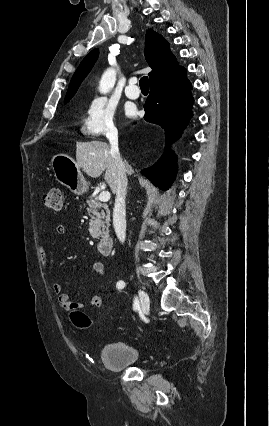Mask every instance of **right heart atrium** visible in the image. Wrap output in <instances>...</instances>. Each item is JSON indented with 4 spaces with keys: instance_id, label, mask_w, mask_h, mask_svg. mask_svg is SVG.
Wrapping results in <instances>:
<instances>
[{
    "instance_id": "d8ad5b80",
    "label": "right heart atrium",
    "mask_w": 269,
    "mask_h": 426,
    "mask_svg": "<svg viewBox=\"0 0 269 426\" xmlns=\"http://www.w3.org/2000/svg\"><path fill=\"white\" fill-rule=\"evenodd\" d=\"M80 130L91 137L114 135L115 107L105 97H92L82 110Z\"/></svg>"
}]
</instances>
